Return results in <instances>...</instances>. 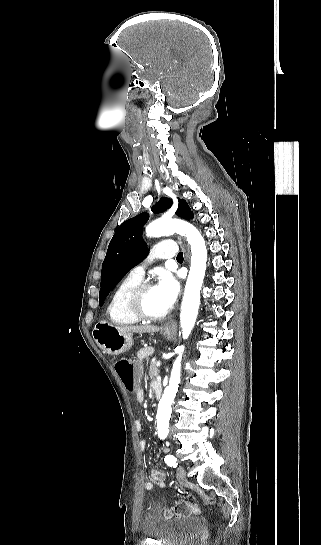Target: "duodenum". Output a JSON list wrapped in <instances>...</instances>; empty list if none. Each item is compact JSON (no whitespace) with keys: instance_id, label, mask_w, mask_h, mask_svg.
I'll return each mask as SVG.
<instances>
[{"instance_id":"1","label":"duodenum","mask_w":321,"mask_h":545,"mask_svg":"<svg viewBox=\"0 0 321 545\" xmlns=\"http://www.w3.org/2000/svg\"><path fill=\"white\" fill-rule=\"evenodd\" d=\"M153 391H154V394L157 398H159L161 396V393H162V386H161V383L159 382H156L153 384Z\"/></svg>"}]
</instances>
